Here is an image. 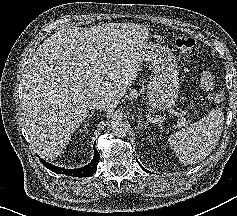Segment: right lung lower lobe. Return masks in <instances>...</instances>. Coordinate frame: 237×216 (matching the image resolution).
I'll return each instance as SVG.
<instances>
[{
    "label": "right lung lower lobe",
    "instance_id": "obj_1",
    "mask_svg": "<svg viewBox=\"0 0 237 216\" xmlns=\"http://www.w3.org/2000/svg\"><path fill=\"white\" fill-rule=\"evenodd\" d=\"M93 148H94V158L91 161V163L88 164L87 166H84L78 169H64V168L53 166L52 164L45 162L43 159L39 158V160L46 168H48L49 170L57 174L60 173V174H66V175L75 176V177H89L96 172L97 165L100 159L99 153L96 150L95 146H93Z\"/></svg>",
    "mask_w": 237,
    "mask_h": 216
}]
</instances>
